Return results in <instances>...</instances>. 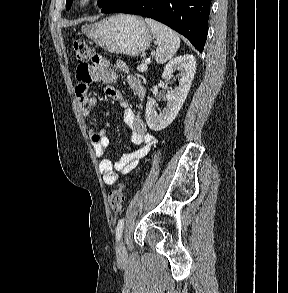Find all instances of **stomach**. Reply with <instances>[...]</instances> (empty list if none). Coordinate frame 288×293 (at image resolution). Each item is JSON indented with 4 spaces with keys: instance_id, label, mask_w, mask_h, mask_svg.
I'll use <instances>...</instances> for the list:
<instances>
[{
    "instance_id": "0dacf381",
    "label": "stomach",
    "mask_w": 288,
    "mask_h": 293,
    "mask_svg": "<svg viewBox=\"0 0 288 293\" xmlns=\"http://www.w3.org/2000/svg\"><path fill=\"white\" fill-rule=\"evenodd\" d=\"M82 33L104 50L138 56L150 47L153 36L141 17L118 14L84 25Z\"/></svg>"
}]
</instances>
